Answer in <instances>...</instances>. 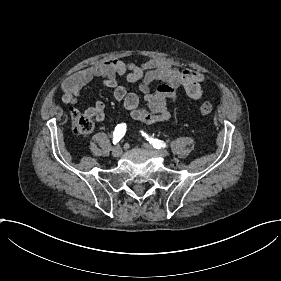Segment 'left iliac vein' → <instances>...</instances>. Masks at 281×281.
Here are the masks:
<instances>
[{
    "label": "left iliac vein",
    "instance_id": "4c4485c4",
    "mask_svg": "<svg viewBox=\"0 0 281 281\" xmlns=\"http://www.w3.org/2000/svg\"><path fill=\"white\" fill-rule=\"evenodd\" d=\"M144 147H147V149H149V150H153L152 148H151V145L150 144H144ZM154 152H156V155H158V156H167V151H165V150H154Z\"/></svg>",
    "mask_w": 281,
    "mask_h": 281
}]
</instances>
